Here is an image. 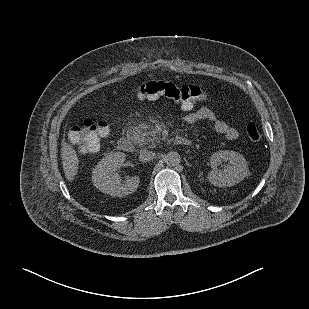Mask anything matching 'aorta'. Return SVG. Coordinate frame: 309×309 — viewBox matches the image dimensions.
<instances>
[{
	"label": "aorta",
	"mask_w": 309,
	"mask_h": 309,
	"mask_svg": "<svg viewBox=\"0 0 309 309\" xmlns=\"http://www.w3.org/2000/svg\"><path fill=\"white\" fill-rule=\"evenodd\" d=\"M164 161L168 166L174 167L180 163L181 157L178 152H169L166 154Z\"/></svg>",
	"instance_id": "aorta-1"
}]
</instances>
